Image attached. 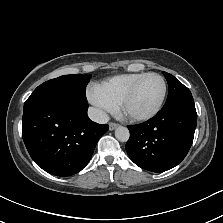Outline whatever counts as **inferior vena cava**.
Instances as JSON below:
<instances>
[{
	"label": "inferior vena cava",
	"instance_id": "602c4592",
	"mask_svg": "<svg viewBox=\"0 0 223 223\" xmlns=\"http://www.w3.org/2000/svg\"><path fill=\"white\" fill-rule=\"evenodd\" d=\"M88 116L92 121L101 124L107 123L109 121L108 115L104 111L95 107L88 108Z\"/></svg>",
	"mask_w": 223,
	"mask_h": 223
}]
</instances>
